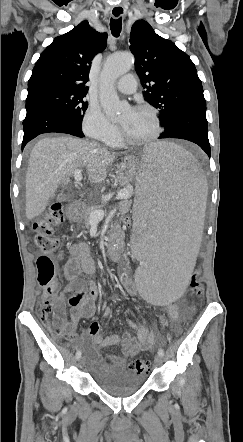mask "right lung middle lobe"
Returning a JSON list of instances; mask_svg holds the SVG:
<instances>
[{"instance_id": "right-lung-middle-lobe-1", "label": "right lung middle lobe", "mask_w": 243, "mask_h": 442, "mask_svg": "<svg viewBox=\"0 0 243 442\" xmlns=\"http://www.w3.org/2000/svg\"><path fill=\"white\" fill-rule=\"evenodd\" d=\"M86 95L62 90H50L36 96L27 97L26 103L33 101H46L62 108L77 124L81 125L83 114L88 104L84 100Z\"/></svg>"}]
</instances>
